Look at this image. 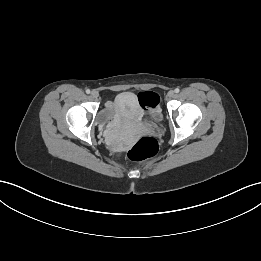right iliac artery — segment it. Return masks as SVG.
<instances>
[{"label":"right iliac artery","mask_w":261,"mask_h":261,"mask_svg":"<svg viewBox=\"0 0 261 261\" xmlns=\"http://www.w3.org/2000/svg\"><path fill=\"white\" fill-rule=\"evenodd\" d=\"M86 93H87V94H90V90H89V89H87V90H86Z\"/></svg>","instance_id":"obj_1"}]
</instances>
